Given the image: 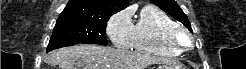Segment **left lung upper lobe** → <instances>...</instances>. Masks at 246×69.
<instances>
[{
    "mask_svg": "<svg viewBox=\"0 0 246 69\" xmlns=\"http://www.w3.org/2000/svg\"><path fill=\"white\" fill-rule=\"evenodd\" d=\"M152 3L160 7L167 14L174 17L176 20L183 23L191 32V24L187 19V16L183 13L181 8L177 5L174 0H150Z\"/></svg>",
    "mask_w": 246,
    "mask_h": 69,
    "instance_id": "1",
    "label": "left lung upper lobe"
}]
</instances>
